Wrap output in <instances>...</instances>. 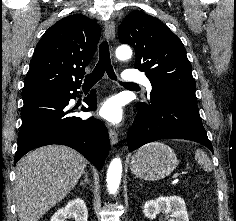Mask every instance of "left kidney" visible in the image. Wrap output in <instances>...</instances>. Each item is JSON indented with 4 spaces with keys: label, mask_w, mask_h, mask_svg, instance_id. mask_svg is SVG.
<instances>
[{
    "label": "left kidney",
    "mask_w": 236,
    "mask_h": 221,
    "mask_svg": "<svg viewBox=\"0 0 236 221\" xmlns=\"http://www.w3.org/2000/svg\"><path fill=\"white\" fill-rule=\"evenodd\" d=\"M144 215L149 219L155 218L160 212L171 213L174 219L169 221H189L184 200L179 196L164 197L149 200L144 204Z\"/></svg>",
    "instance_id": "left-kidney-1"
}]
</instances>
